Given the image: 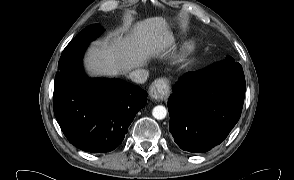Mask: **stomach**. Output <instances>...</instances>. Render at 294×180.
Returning <instances> with one entry per match:
<instances>
[{"mask_svg": "<svg viewBox=\"0 0 294 180\" xmlns=\"http://www.w3.org/2000/svg\"><path fill=\"white\" fill-rule=\"evenodd\" d=\"M175 20H176L175 17H168L166 19V22H167L168 27H171L174 24Z\"/></svg>", "mask_w": 294, "mask_h": 180, "instance_id": "1", "label": "stomach"}]
</instances>
